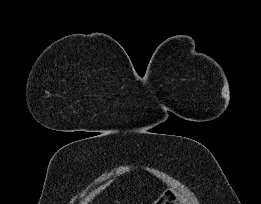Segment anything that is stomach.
<instances>
[{"label": "stomach", "mask_w": 261, "mask_h": 204, "mask_svg": "<svg viewBox=\"0 0 261 204\" xmlns=\"http://www.w3.org/2000/svg\"><path fill=\"white\" fill-rule=\"evenodd\" d=\"M154 204H181L172 189H167Z\"/></svg>", "instance_id": "0dacf381"}]
</instances>
